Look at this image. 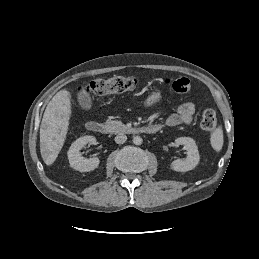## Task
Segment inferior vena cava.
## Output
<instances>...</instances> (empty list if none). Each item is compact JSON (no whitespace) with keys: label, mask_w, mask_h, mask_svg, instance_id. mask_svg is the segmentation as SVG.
Here are the masks:
<instances>
[{"label":"inferior vena cava","mask_w":259,"mask_h":259,"mask_svg":"<svg viewBox=\"0 0 259 259\" xmlns=\"http://www.w3.org/2000/svg\"><path fill=\"white\" fill-rule=\"evenodd\" d=\"M127 140V136L124 135V134H118L116 137H115V142L117 144H123L125 143Z\"/></svg>","instance_id":"1"}]
</instances>
